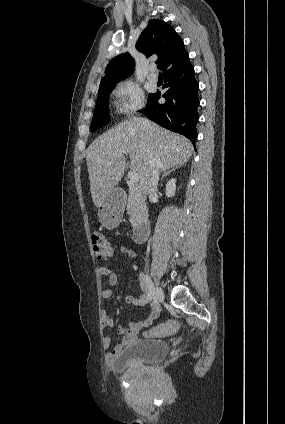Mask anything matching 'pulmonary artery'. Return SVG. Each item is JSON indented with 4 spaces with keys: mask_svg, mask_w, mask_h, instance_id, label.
Segmentation results:
<instances>
[{
    "mask_svg": "<svg viewBox=\"0 0 285 424\" xmlns=\"http://www.w3.org/2000/svg\"><path fill=\"white\" fill-rule=\"evenodd\" d=\"M149 80H150L152 83H156V82L158 81V76H157L155 73H150V74H149Z\"/></svg>",
    "mask_w": 285,
    "mask_h": 424,
    "instance_id": "obj_1",
    "label": "pulmonary artery"
}]
</instances>
